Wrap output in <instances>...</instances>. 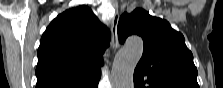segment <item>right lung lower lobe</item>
<instances>
[{"instance_id":"1","label":"right lung lower lobe","mask_w":223,"mask_h":88,"mask_svg":"<svg viewBox=\"0 0 223 88\" xmlns=\"http://www.w3.org/2000/svg\"><path fill=\"white\" fill-rule=\"evenodd\" d=\"M98 82H99V80L96 81V82L93 84V87H91V88H97Z\"/></svg>"}]
</instances>
